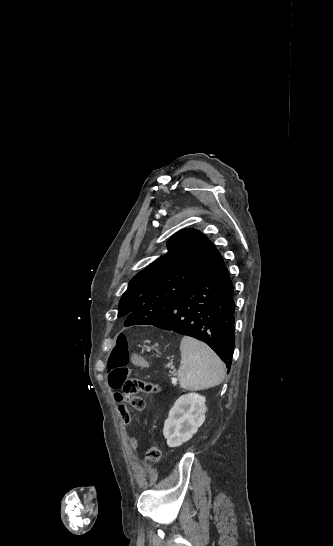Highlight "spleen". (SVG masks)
<instances>
[{
	"mask_svg": "<svg viewBox=\"0 0 333 546\" xmlns=\"http://www.w3.org/2000/svg\"><path fill=\"white\" fill-rule=\"evenodd\" d=\"M181 363L177 376L184 390H201L221 384L225 365L205 343L185 336L180 343Z\"/></svg>",
	"mask_w": 333,
	"mask_h": 546,
	"instance_id": "3e777b00",
	"label": "spleen"
}]
</instances>
